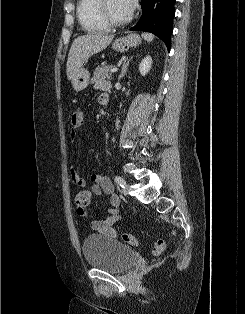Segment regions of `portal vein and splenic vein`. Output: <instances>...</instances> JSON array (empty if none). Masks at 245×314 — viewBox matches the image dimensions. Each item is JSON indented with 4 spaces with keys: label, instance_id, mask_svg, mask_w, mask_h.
<instances>
[{
    "label": "portal vein and splenic vein",
    "instance_id": "obj_1",
    "mask_svg": "<svg viewBox=\"0 0 245 314\" xmlns=\"http://www.w3.org/2000/svg\"><path fill=\"white\" fill-rule=\"evenodd\" d=\"M117 71H118V68H117V67H114V68L111 69L110 72H111V73H115V72H117Z\"/></svg>",
    "mask_w": 245,
    "mask_h": 314
}]
</instances>
